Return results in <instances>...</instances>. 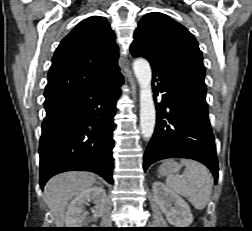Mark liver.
Masks as SVG:
<instances>
[{"label": "liver", "instance_id": "6515ba94", "mask_svg": "<svg viewBox=\"0 0 252 231\" xmlns=\"http://www.w3.org/2000/svg\"><path fill=\"white\" fill-rule=\"evenodd\" d=\"M95 182L94 176L87 172H66L54 176L47 182L44 198L58 228H62L65 224L68 202L89 189Z\"/></svg>", "mask_w": 252, "mask_h": 231}]
</instances>
